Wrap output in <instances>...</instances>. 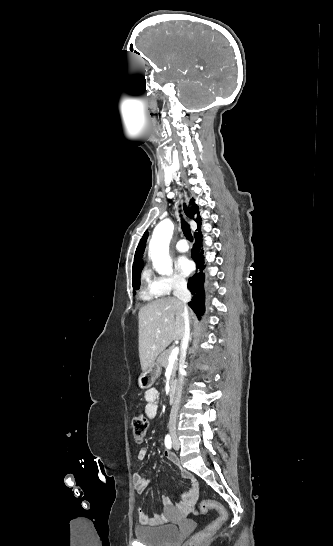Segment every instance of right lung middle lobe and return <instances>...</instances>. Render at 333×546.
Segmentation results:
<instances>
[{
    "mask_svg": "<svg viewBox=\"0 0 333 546\" xmlns=\"http://www.w3.org/2000/svg\"><path fill=\"white\" fill-rule=\"evenodd\" d=\"M134 277H135V281H134V283H133V288H134V290H137V289H139V287H140V278H139V274H136Z\"/></svg>",
    "mask_w": 333,
    "mask_h": 546,
    "instance_id": "dd1d6c3e",
    "label": "right lung middle lobe"
}]
</instances>
